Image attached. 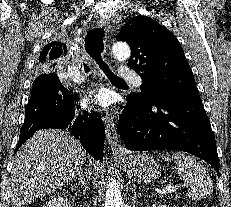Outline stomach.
Listing matches in <instances>:
<instances>
[{"label":"stomach","mask_w":231,"mask_h":207,"mask_svg":"<svg viewBox=\"0 0 231 207\" xmlns=\"http://www.w3.org/2000/svg\"><path fill=\"white\" fill-rule=\"evenodd\" d=\"M119 164L127 176L138 183H150L159 176V165L146 153L130 154L119 159Z\"/></svg>","instance_id":"1"}]
</instances>
